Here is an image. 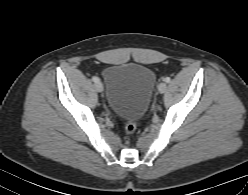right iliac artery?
<instances>
[{"instance_id":"82829eb1","label":"right iliac artery","mask_w":248,"mask_h":195,"mask_svg":"<svg viewBox=\"0 0 248 195\" xmlns=\"http://www.w3.org/2000/svg\"><path fill=\"white\" fill-rule=\"evenodd\" d=\"M92 81L95 82V83H97V82L100 81V79H99L98 77H95V76H94V77H92Z\"/></svg>"}]
</instances>
